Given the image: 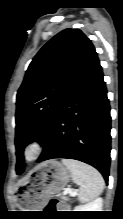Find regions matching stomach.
Returning a JSON list of instances; mask_svg holds the SVG:
<instances>
[{"mask_svg": "<svg viewBox=\"0 0 123 219\" xmlns=\"http://www.w3.org/2000/svg\"><path fill=\"white\" fill-rule=\"evenodd\" d=\"M70 171L62 163L49 160L38 165L17 191L16 202L21 211H39L49 198L64 189Z\"/></svg>", "mask_w": 123, "mask_h": 219, "instance_id": "obj_1", "label": "stomach"}]
</instances>
